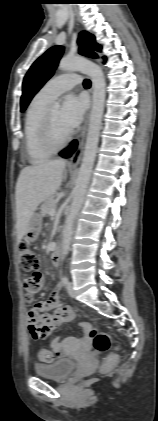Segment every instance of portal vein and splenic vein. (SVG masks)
Listing matches in <instances>:
<instances>
[{"label":"portal vein and splenic vein","instance_id":"obj_1","mask_svg":"<svg viewBox=\"0 0 158 421\" xmlns=\"http://www.w3.org/2000/svg\"><path fill=\"white\" fill-rule=\"evenodd\" d=\"M55 213H56L55 209H51L49 214H50L51 216H54V215H55Z\"/></svg>","mask_w":158,"mask_h":421}]
</instances>
